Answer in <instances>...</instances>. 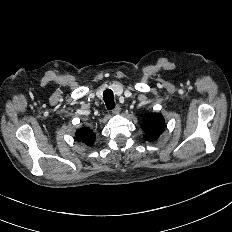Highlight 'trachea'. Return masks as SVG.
Wrapping results in <instances>:
<instances>
[{
	"label": "trachea",
	"mask_w": 232,
	"mask_h": 232,
	"mask_svg": "<svg viewBox=\"0 0 232 232\" xmlns=\"http://www.w3.org/2000/svg\"><path fill=\"white\" fill-rule=\"evenodd\" d=\"M103 99L108 110H111L115 107L114 95L111 89H106L103 92Z\"/></svg>",
	"instance_id": "3493384b"
}]
</instances>
